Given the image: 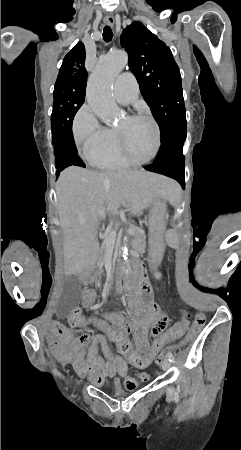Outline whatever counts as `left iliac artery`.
Here are the masks:
<instances>
[{
  "label": "left iliac artery",
  "mask_w": 241,
  "mask_h": 450,
  "mask_svg": "<svg viewBox=\"0 0 241 450\" xmlns=\"http://www.w3.org/2000/svg\"><path fill=\"white\" fill-rule=\"evenodd\" d=\"M167 357H168L170 362H172V363L174 362V356H173V354L171 352L167 353Z\"/></svg>",
  "instance_id": "44dca946"
}]
</instances>
